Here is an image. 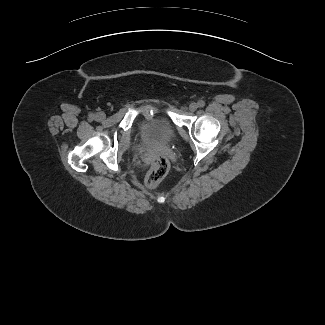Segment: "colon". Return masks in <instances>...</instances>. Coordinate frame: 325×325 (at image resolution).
<instances>
[{
    "instance_id": "1",
    "label": "colon",
    "mask_w": 325,
    "mask_h": 325,
    "mask_svg": "<svg viewBox=\"0 0 325 325\" xmlns=\"http://www.w3.org/2000/svg\"><path fill=\"white\" fill-rule=\"evenodd\" d=\"M169 168V161L165 157L158 156L155 158L145 178L146 186L149 188L155 187L167 175Z\"/></svg>"
}]
</instances>
